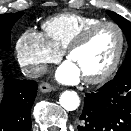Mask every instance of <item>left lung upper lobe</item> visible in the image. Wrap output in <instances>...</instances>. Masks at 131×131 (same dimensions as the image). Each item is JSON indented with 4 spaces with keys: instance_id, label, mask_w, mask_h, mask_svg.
Masks as SVG:
<instances>
[{
    "instance_id": "1",
    "label": "left lung upper lobe",
    "mask_w": 131,
    "mask_h": 131,
    "mask_svg": "<svg viewBox=\"0 0 131 131\" xmlns=\"http://www.w3.org/2000/svg\"><path fill=\"white\" fill-rule=\"evenodd\" d=\"M107 14L119 25V27L125 33L129 45L125 60L121 67L118 69L115 77L131 75V22L112 11H107Z\"/></svg>"
}]
</instances>
